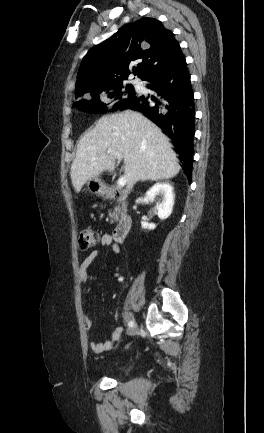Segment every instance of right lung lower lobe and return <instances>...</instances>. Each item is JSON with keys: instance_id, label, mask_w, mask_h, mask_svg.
I'll list each match as a JSON object with an SVG mask.
<instances>
[{"instance_id": "right-lung-lower-lobe-1", "label": "right lung lower lobe", "mask_w": 264, "mask_h": 433, "mask_svg": "<svg viewBox=\"0 0 264 433\" xmlns=\"http://www.w3.org/2000/svg\"><path fill=\"white\" fill-rule=\"evenodd\" d=\"M142 80L157 93L137 95L122 109L143 113L168 135L180 154L185 174L191 182L195 106L190 74L183 53L155 66Z\"/></svg>"}]
</instances>
